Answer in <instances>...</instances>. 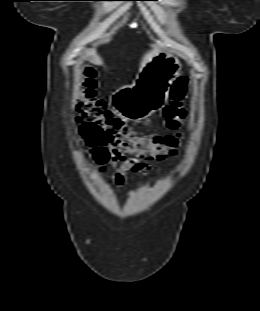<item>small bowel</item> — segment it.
<instances>
[{"label": "small bowel", "instance_id": "obj_1", "mask_svg": "<svg viewBox=\"0 0 260 311\" xmlns=\"http://www.w3.org/2000/svg\"><path fill=\"white\" fill-rule=\"evenodd\" d=\"M112 163L114 166L113 179L119 187L124 186L127 172L147 174L151 170V165L148 162H143L135 157L126 158L121 161L119 158L112 157Z\"/></svg>", "mask_w": 260, "mask_h": 311}]
</instances>
